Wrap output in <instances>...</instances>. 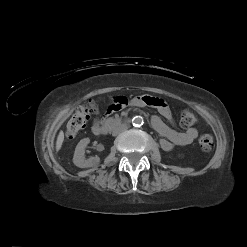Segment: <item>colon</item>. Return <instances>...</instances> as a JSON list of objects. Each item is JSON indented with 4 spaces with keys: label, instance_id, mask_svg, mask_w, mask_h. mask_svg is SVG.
<instances>
[{
    "label": "colon",
    "instance_id": "5ec220e1",
    "mask_svg": "<svg viewBox=\"0 0 247 247\" xmlns=\"http://www.w3.org/2000/svg\"><path fill=\"white\" fill-rule=\"evenodd\" d=\"M97 104L94 102H89L86 105H82L76 109L72 117L67 123L66 137L69 140H73L83 130L89 121V119L98 113ZM180 122L184 127H192L198 122L196 114L185 108L181 111ZM198 144L203 151H210L213 147V137L210 134H201L198 139Z\"/></svg>",
    "mask_w": 247,
    "mask_h": 247
}]
</instances>
